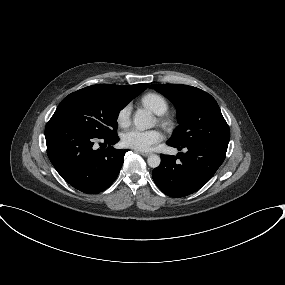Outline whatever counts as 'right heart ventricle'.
Masks as SVG:
<instances>
[{"instance_id":"obj_1","label":"right heart ventricle","mask_w":285,"mask_h":285,"mask_svg":"<svg viewBox=\"0 0 285 285\" xmlns=\"http://www.w3.org/2000/svg\"><path fill=\"white\" fill-rule=\"evenodd\" d=\"M141 103L157 115H163L169 108L167 99L159 93H147L141 98Z\"/></svg>"}]
</instances>
